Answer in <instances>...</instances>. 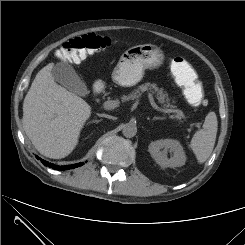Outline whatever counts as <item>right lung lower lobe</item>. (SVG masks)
Wrapping results in <instances>:
<instances>
[{
  "label": "right lung lower lobe",
  "mask_w": 245,
  "mask_h": 245,
  "mask_svg": "<svg viewBox=\"0 0 245 245\" xmlns=\"http://www.w3.org/2000/svg\"><path fill=\"white\" fill-rule=\"evenodd\" d=\"M37 159H40V158L37 157ZM41 161L45 166H49V167L56 169V170H68V169H73V168H76V167L83 165V163H79V164L66 165V166H57V165H54L52 163H48L47 161H44V160H41Z\"/></svg>",
  "instance_id": "1"
}]
</instances>
